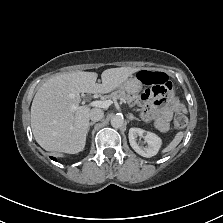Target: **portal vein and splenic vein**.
Returning a JSON list of instances; mask_svg holds the SVG:
<instances>
[{
	"label": "portal vein and splenic vein",
	"instance_id": "obj_1",
	"mask_svg": "<svg viewBox=\"0 0 223 223\" xmlns=\"http://www.w3.org/2000/svg\"><path fill=\"white\" fill-rule=\"evenodd\" d=\"M119 101H122V102H124V105H127V102H125L124 98H119ZM112 103H113L112 100H104V101L96 100V101L91 102V106L108 109ZM71 108L74 111L79 109V107L75 106V105H73Z\"/></svg>",
	"mask_w": 223,
	"mask_h": 223
}]
</instances>
